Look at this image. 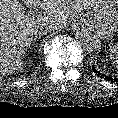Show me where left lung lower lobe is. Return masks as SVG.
<instances>
[{"label": "left lung lower lobe", "instance_id": "1", "mask_svg": "<svg viewBox=\"0 0 118 118\" xmlns=\"http://www.w3.org/2000/svg\"><path fill=\"white\" fill-rule=\"evenodd\" d=\"M92 69H93L94 73H96L98 76H100V77H102V78L107 79L108 81H109V80H111V81H112V80L117 81V78L112 79V78L109 77V76H106V75H104V74L99 73V72L95 69L94 66H92Z\"/></svg>", "mask_w": 118, "mask_h": 118}]
</instances>
